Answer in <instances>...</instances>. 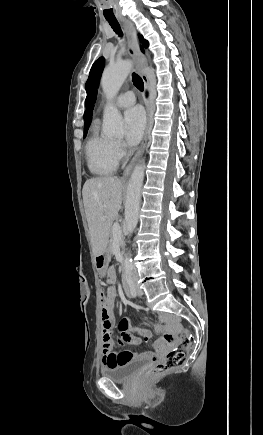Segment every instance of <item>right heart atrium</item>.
I'll return each mask as SVG.
<instances>
[{
	"mask_svg": "<svg viewBox=\"0 0 263 435\" xmlns=\"http://www.w3.org/2000/svg\"><path fill=\"white\" fill-rule=\"evenodd\" d=\"M114 150H115V154L116 157L119 159L123 158V156L125 155L126 149L123 143L117 141L114 143Z\"/></svg>",
	"mask_w": 263,
	"mask_h": 435,
	"instance_id": "right-heart-atrium-1",
	"label": "right heart atrium"
}]
</instances>
